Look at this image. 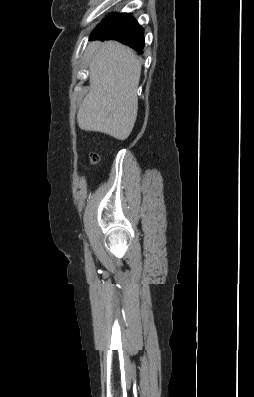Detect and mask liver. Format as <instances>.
<instances>
[{"mask_svg":"<svg viewBox=\"0 0 254 397\" xmlns=\"http://www.w3.org/2000/svg\"><path fill=\"white\" fill-rule=\"evenodd\" d=\"M84 61L90 70V89L78 110L79 127L127 139L137 117L141 60L116 41H93Z\"/></svg>","mask_w":254,"mask_h":397,"instance_id":"1","label":"liver"}]
</instances>
